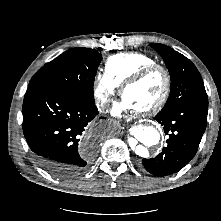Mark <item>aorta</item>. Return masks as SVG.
Wrapping results in <instances>:
<instances>
[{
	"label": "aorta",
	"mask_w": 221,
	"mask_h": 221,
	"mask_svg": "<svg viewBox=\"0 0 221 221\" xmlns=\"http://www.w3.org/2000/svg\"><path fill=\"white\" fill-rule=\"evenodd\" d=\"M135 138L145 146L156 145L160 140L159 131L153 126L140 125L134 130ZM133 144L132 148L135 153L141 157L147 155V149L142 145Z\"/></svg>",
	"instance_id": "1"
}]
</instances>
